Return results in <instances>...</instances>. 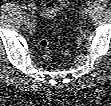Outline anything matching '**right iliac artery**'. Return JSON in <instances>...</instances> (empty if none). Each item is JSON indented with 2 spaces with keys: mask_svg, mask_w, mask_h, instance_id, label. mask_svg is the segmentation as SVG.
Returning <instances> with one entry per match:
<instances>
[{
  "mask_svg": "<svg viewBox=\"0 0 111 106\" xmlns=\"http://www.w3.org/2000/svg\"><path fill=\"white\" fill-rule=\"evenodd\" d=\"M22 16H23L24 19H29L30 18V15L27 12H23Z\"/></svg>",
  "mask_w": 111,
  "mask_h": 106,
  "instance_id": "1",
  "label": "right iliac artery"
}]
</instances>
